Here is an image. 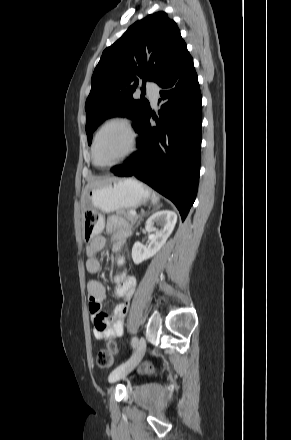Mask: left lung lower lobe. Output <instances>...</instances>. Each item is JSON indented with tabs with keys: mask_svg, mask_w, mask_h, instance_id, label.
Instances as JSON below:
<instances>
[{
	"mask_svg": "<svg viewBox=\"0 0 291 440\" xmlns=\"http://www.w3.org/2000/svg\"><path fill=\"white\" fill-rule=\"evenodd\" d=\"M158 85L159 102L165 101L161 122L156 119L157 127H151L149 110L138 131V151L111 172L150 185L176 205L184 221L197 194L201 162L202 98L189 52Z\"/></svg>",
	"mask_w": 291,
	"mask_h": 440,
	"instance_id": "obj_1",
	"label": "left lung lower lobe"
}]
</instances>
